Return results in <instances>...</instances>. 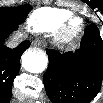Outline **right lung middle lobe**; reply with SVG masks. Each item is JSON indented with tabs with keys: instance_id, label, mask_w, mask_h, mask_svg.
<instances>
[{
	"instance_id": "right-lung-middle-lobe-1",
	"label": "right lung middle lobe",
	"mask_w": 103,
	"mask_h": 103,
	"mask_svg": "<svg viewBox=\"0 0 103 103\" xmlns=\"http://www.w3.org/2000/svg\"><path fill=\"white\" fill-rule=\"evenodd\" d=\"M31 9L28 4L19 7L0 8V24H22Z\"/></svg>"
}]
</instances>
